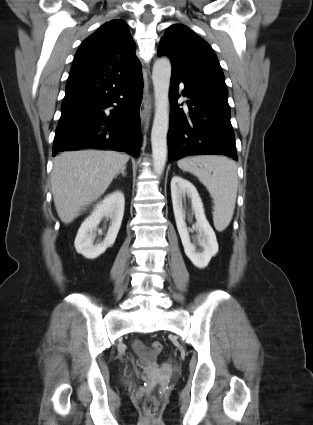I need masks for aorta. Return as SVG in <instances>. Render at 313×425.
Instances as JSON below:
<instances>
[{
    "instance_id": "762f6f07",
    "label": "aorta",
    "mask_w": 313,
    "mask_h": 425,
    "mask_svg": "<svg viewBox=\"0 0 313 425\" xmlns=\"http://www.w3.org/2000/svg\"><path fill=\"white\" fill-rule=\"evenodd\" d=\"M170 77V60L166 57L157 59L152 70L155 115L151 131V145L154 171L159 175L163 172L167 160Z\"/></svg>"
}]
</instances>
